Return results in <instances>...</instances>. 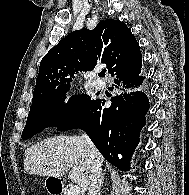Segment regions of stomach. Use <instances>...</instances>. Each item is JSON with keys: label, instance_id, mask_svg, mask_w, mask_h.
I'll return each instance as SVG.
<instances>
[{"label": "stomach", "instance_id": "obj_1", "mask_svg": "<svg viewBox=\"0 0 189 195\" xmlns=\"http://www.w3.org/2000/svg\"><path fill=\"white\" fill-rule=\"evenodd\" d=\"M51 177H47L46 178V180H45V186H46V188L49 190V189H51L52 187L50 186V179Z\"/></svg>", "mask_w": 189, "mask_h": 195}]
</instances>
